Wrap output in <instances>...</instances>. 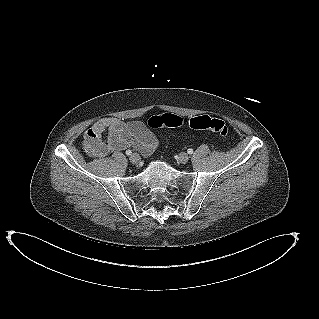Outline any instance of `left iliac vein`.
I'll return each instance as SVG.
<instances>
[{
	"label": "left iliac vein",
	"mask_w": 319,
	"mask_h": 319,
	"mask_svg": "<svg viewBox=\"0 0 319 319\" xmlns=\"http://www.w3.org/2000/svg\"><path fill=\"white\" fill-rule=\"evenodd\" d=\"M189 160V155L185 152L179 154L178 161L182 164H186Z\"/></svg>",
	"instance_id": "1"
}]
</instances>
